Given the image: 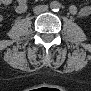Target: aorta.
<instances>
[{
	"label": "aorta",
	"instance_id": "1",
	"mask_svg": "<svg viewBox=\"0 0 91 91\" xmlns=\"http://www.w3.org/2000/svg\"><path fill=\"white\" fill-rule=\"evenodd\" d=\"M50 8H51V10H53V11H59V9L61 8V4H60V2H58V1H52V2L50 3Z\"/></svg>",
	"mask_w": 91,
	"mask_h": 91
}]
</instances>
